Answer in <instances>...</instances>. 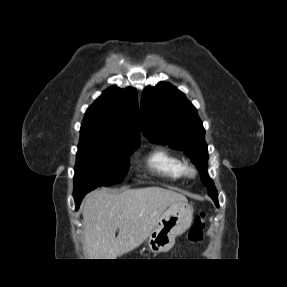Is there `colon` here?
<instances>
[{"mask_svg": "<svg viewBox=\"0 0 287 287\" xmlns=\"http://www.w3.org/2000/svg\"><path fill=\"white\" fill-rule=\"evenodd\" d=\"M206 214L198 213L193 221V224L188 232L189 243H196L201 240L205 227Z\"/></svg>", "mask_w": 287, "mask_h": 287, "instance_id": "colon-1", "label": "colon"}]
</instances>
